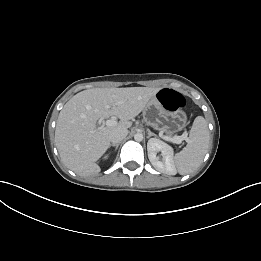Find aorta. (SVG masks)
<instances>
[{
    "label": "aorta",
    "instance_id": "762f6f07",
    "mask_svg": "<svg viewBox=\"0 0 261 261\" xmlns=\"http://www.w3.org/2000/svg\"><path fill=\"white\" fill-rule=\"evenodd\" d=\"M134 139H135V141H138V142L142 141L143 140V134L142 133H136L134 135Z\"/></svg>",
    "mask_w": 261,
    "mask_h": 261
}]
</instances>
